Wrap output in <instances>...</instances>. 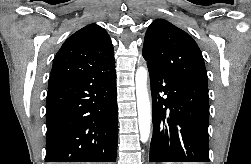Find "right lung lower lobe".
Here are the masks:
<instances>
[{"label": "right lung lower lobe", "instance_id": "obj_1", "mask_svg": "<svg viewBox=\"0 0 251 164\" xmlns=\"http://www.w3.org/2000/svg\"><path fill=\"white\" fill-rule=\"evenodd\" d=\"M45 162H115V65L48 88Z\"/></svg>", "mask_w": 251, "mask_h": 164}]
</instances>
